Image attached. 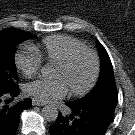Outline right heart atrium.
Masks as SVG:
<instances>
[{"instance_id": "right-heart-atrium-1", "label": "right heart atrium", "mask_w": 135, "mask_h": 135, "mask_svg": "<svg viewBox=\"0 0 135 135\" xmlns=\"http://www.w3.org/2000/svg\"><path fill=\"white\" fill-rule=\"evenodd\" d=\"M14 60L17 69L28 78L37 74L42 65V58L35 50L18 51Z\"/></svg>"}]
</instances>
